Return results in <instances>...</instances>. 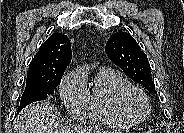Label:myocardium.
<instances>
[{"mask_svg": "<svg viewBox=\"0 0 184 133\" xmlns=\"http://www.w3.org/2000/svg\"><path fill=\"white\" fill-rule=\"evenodd\" d=\"M132 94L138 95L145 104L146 112L141 116L133 115L126 106L128 97ZM115 108L120 116H122L129 123H140L148 118L151 112V105L146 93L138 87L127 86L121 88L115 96Z\"/></svg>", "mask_w": 184, "mask_h": 133, "instance_id": "myocardium-1", "label": "myocardium"}]
</instances>
